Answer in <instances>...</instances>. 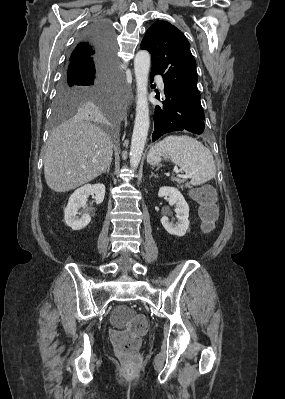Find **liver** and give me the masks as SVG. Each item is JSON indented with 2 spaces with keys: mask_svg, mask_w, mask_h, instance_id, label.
Wrapping results in <instances>:
<instances>
[{
  "mask_svg": "<svg viewBox=\"0 0 285 399\" xmlns=\"http://www.w3.org/2000/svg\"><path fill=\"white\" fill-rule=\"evenodd\" d=\"M113 144L82 114L62 123L48 139L44 175L50 189L67 192L101 175L112 162Z\"/></svg>",
  "mask_w": 285,
  "mask_h": 399,
  "instance_id": "6515ba94",
  "label": "liver"
}]
</instances>
